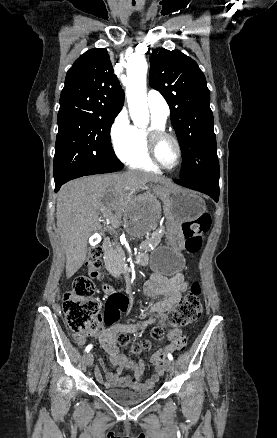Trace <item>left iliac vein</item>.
<instances>
[{
    "label": "left iliac vein",
    "mask_w": 277,
    "mask_h": 438,
    "mask_svg": "<svg viewBox=\"0 0 277 438\" xmlns=\"http://www.w3.org/2000/svg\"><path fill=\"white\" fill-rule=\"evenodd\" d=\"M164 368H165V370H166L167 372H169V371L172 370V368H173V364H172L171 360H166V361L164 362Z\"/></svg>",
    "instance_id": "obj_1"
}]
</instances>
